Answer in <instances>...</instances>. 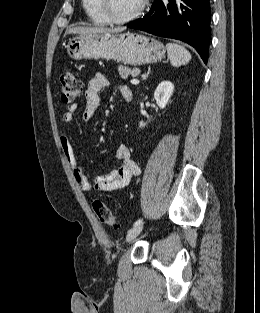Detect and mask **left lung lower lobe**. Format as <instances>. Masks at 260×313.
Wrapping results in <instances>:
<instances>
[{
    "mask_svg": "<svg viewBox=\"0 0 260 313\" xmlns=\"http://www.w3.org/2000/svg\"><path fill=\"white\" fill-rule=\"evenodd\" d=\"M209 0H155L150 11L127 27L184 41L208 61L210 43Z\"/></svg>",
    "mask_w": 260,
    "mask_h": 313,
    "instance_id": "0a47b994",
    "label": "left lung lower lobe"
}]
</instances>
